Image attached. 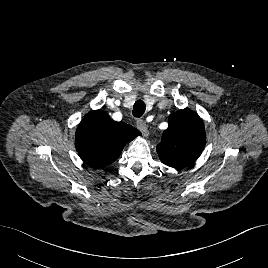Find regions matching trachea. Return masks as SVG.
<instances>
[{
    "label": "trachea",
    "mask_w": 268,
    "mask_h": 268,
    "mask_svg": "<svg viewBox=\"0 0 268 268\" xmlns=\"http://www.w3.org/2000/svg\"><path fill=\"white\" fill-rule=\"evenodd\" d=\"M145 109H146L145 103L142 100H137L133 106V111H132L133 116L140 118L144 114Z\"/></svg>",
    "instance_id": "1"
}]
</instances>
